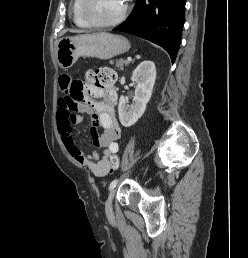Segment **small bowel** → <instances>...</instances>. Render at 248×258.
Listing matches in <instances>:
<instances>
[{"label": "small bowel", "mask_w": 248, "mask_h": 258, "mask_svg": "<svg viewBox=\"0 0 248 258\" xmlns=\"http://www.w3.org/2000/svg\"><path fill=\"white\" fill-rule=\"evenodd\" d=\"M59 85L63 95L58 101L57 124L67 152L75 161L88 167L94 176L107 175L111 170V159L119 151L117 141L121 135V128L115 116L118 96L115 87L89 85L84 88L85 94L82 93V96L77 98L78 81L63 77L60 78ZM75 110L92 114V142L94 146L104 149L102 155L97 152L86 155L75 143L73 126L83 121V117L76 114ZM96 126L102 128L101 133L96 132Z\"/></svg>", "instance_id": "1"}]
</instances>
